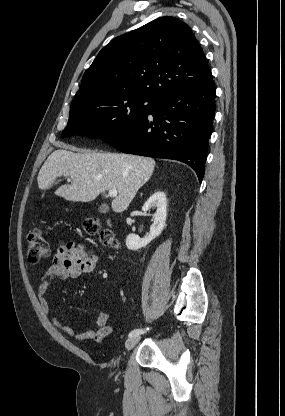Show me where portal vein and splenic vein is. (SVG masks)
<instances>
[{
	"mask_svg": "<svg viewBox=\"0 0 285 416\" xmlns=\"http://www.w3.org/2000/svg\"><path fill=\"white\" fill-rule=\"evenodd\" d=\"M108 196H110V198H116L117 190H109Z\"/></svg>",
	"mask_w": 285,
	"mask_h": 416,
	"instance_id": "obj_1",
	"label": "portal vein and splenic vein"
}]
</instances>
